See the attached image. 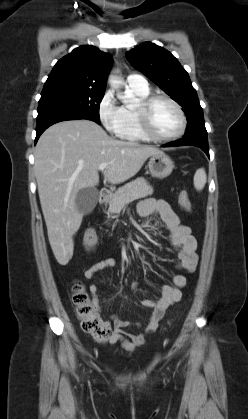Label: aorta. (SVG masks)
Returning <instances> with one entry per match:
<instances>
[{"label":"aorta","instance_id":"aorta-1","mask_svg":"<svg viewBox=\"0 0 248 419\" xmlns=\"http://www.w3.org/2000/svg\"><path fill=\"white\" fill-rule=\"evenodd\" d=\"M109 83H110V86H111L112 89L118 90L119 87H120L121 81H120V79L117 76L110 75L109 76ZM117 98L120 99V100H122V102L127 107H129L130 104L133 101V99L131 97L125 96V95H123L122 93H119V92L117 93Z\"/></svg>","mask_w":248,"mask_h":419}]
</instances>
